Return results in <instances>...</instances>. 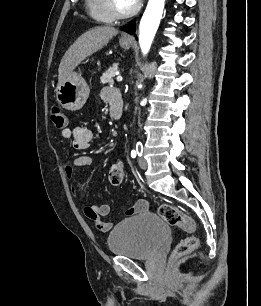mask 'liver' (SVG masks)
<instances>
[{
    "label": "liver",
    "mask_w": 261,
    "mask_h": 306,
    "mask_svg": "<svg viewBox=\"0 0 261 306\" xmlns=\"http://www.w3.org/2000/svg\"><path fill=\"white\" fill-rule=\"evenodd\" d=\"M117 34L118 30L110 26L95 27L82 34L61 59L58 83L66 81L81 61L102 49Z\"/></svg>",
    "instance_id": "liver-1"
}]
</instances>
